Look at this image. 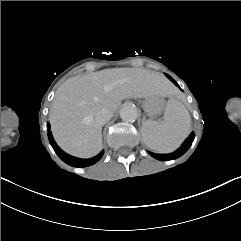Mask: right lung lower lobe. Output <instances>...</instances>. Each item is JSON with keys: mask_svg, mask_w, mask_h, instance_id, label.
I'll list each match as a JSON object with an SVG mask.
<instances>
[{"mask_svg": "<svg viewBox=\"0 0 241 241\" xmlns=\"http://www.w3.org/2000/svg\"><path fill=\"white\" fill-rule=\"evenodd\" d=\"M47 129H48V138H49L50 144L53 146L57 155L67 164H69L71 166H74V167H87V166H91V165L95 164L96 162H98L101 159V157L103 155V152H100L97 156H95L93 158H90V159L76 158V157H73V156L65 153L55 143V141L52 137V134L50 132V125L49 124L47 125Z\"/></svg>", "mask_w": 241, "mask_h": 241, "instance_id": "obj_1", "label": "right lung lower lobe"}]
</instances>
